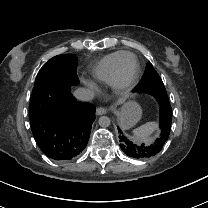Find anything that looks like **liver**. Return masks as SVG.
<instances>
[{
    "instance_id": "liver-1",
    "label": "liver",
    "mask_w": 208,
    "mask_h": 208,
    "mask_svg": "<svg viewBox=\"0 0 208 208\" xmlns=\"http://www.w3.org/2000/svg\"><path fill=\"white\" fill-rule=\"evenodd\" d=\"M122 102V99H120L116 104H120Z\"/></svg>"
}]
</instances>
